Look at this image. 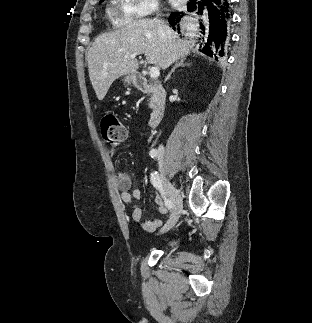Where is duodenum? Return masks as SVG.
Returning a JSON list of instances; mask_svg holds the SVG:
<instances>
[{"label":"duodenum","instance_id":"1","mask_svg":"<svg viewBox=\"0 0 312 323\" xmlns=\"http://www.w3.org/2000/svg\"><path fill=\"white\" fill-rule=\"evenodd\" d=\"M132 83L139 90L152 94V113L149 126L155 127L167 111V90L157 79L148 78L140 72L133 74Z\"/></svg>","mask_w":312,"mask_h":323}]
</instances>
